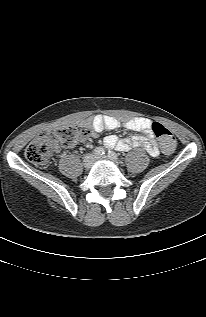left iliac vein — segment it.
Listing matches in <instances>:
<instances>
[{
    "mask_svg": "<svg viewBox=\"0 0 206 317\" xmlns=\"http://www.w3.org/2000/svg\"><path fill=\"white\" fill-rule=\"evenodd\" d=\"M105 159V157H96V160Z\"/></svg>",
    "mask_w": 206,
    "mask_h": 317,
    "instance_id": "1",
    "label": "left iliac vein"
}]
</instances>
